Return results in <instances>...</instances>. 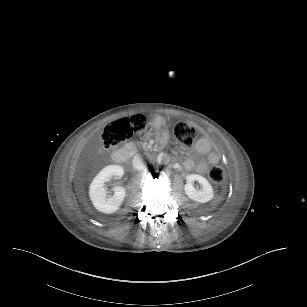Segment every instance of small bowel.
<instances>
[{
  "label": "small bowel",
  "instance_id": "c3829d8e",
  "mask_svg": "<svg viewBox=\"0 0 307 307\" xmlns=\"http://www.w3.org/2000/svg\"><path fill=\"white\" fill-rule=\"evenodd\" d=\"M194 152L201 158L198 161L188 158L184 163L187 170H195L199 174H204L210 165L219 162V155L213 150L212 143L208 138H200L194 146Z\"/></svg>",
  "mask_w": 307,
  "mask_h": 307
}]
</instances>
